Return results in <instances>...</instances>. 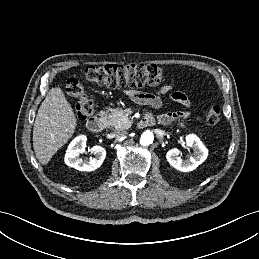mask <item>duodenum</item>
Masks as SVG:
<instances>
[{"label":"duodenum","instance_id":"obj_1","mask_svg":"<svg viewBox=\"0 0 259 259\" xmlns=\"http://www.w3.org/2000/svg\"><path fill=\"white\" fill-rule=\"evenodd\" d=\"M153 121L152 117L150 115H145L141 121L140 125L141 126H146L151 124ZM87 128L92 131V132H100L102 131L105 126H106V119L102 116H94L88 119L87 123Z\"/></svg>","mask_w":259,"mask_h":259}]
</instances>
